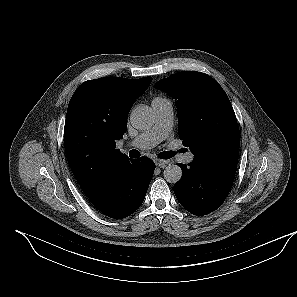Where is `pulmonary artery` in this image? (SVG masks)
Here are the masks:
<instances>
[{"label":"pulmonary artery","instance_id":"e3ab8cb5","mask_svg":"<svg viewBox=\"0 0 297 297\" xmlns=\"http://www.w3.org/2000/svg\"><path fill=\"white\" fill-rule=\"evenodd\" d=\"M154 113V124L152 127L135 137L130 146L144 150L156 146L158 143L166 139L173 127L174 111L173 103L167 98H155L151 102ZM184 163H190L194 159L193 152H188L180 157Z\"/></svg>","mask_w":297,"mask_h":297}]
</instances>
